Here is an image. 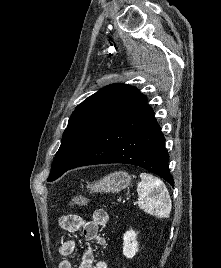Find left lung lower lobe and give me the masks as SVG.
<instances>
[{
  "mask_svg": "<svg viewBox=\"0 0 221 268\" xmlns=\"http://www.w3.org/2000/svg\"><path fill=\"white\" fill-rule=\"evenodd\" d=\"M168 158L161 128L152 108L144 103L104 129L67 170L93 164H132L157 174L174 186Z\"/></svg>",
  "mask_w": 221,
  "mask_h": 268,
  "instance_id": "0a47b994",
  "label": "left lung lower lobe"
}]
</instances>
